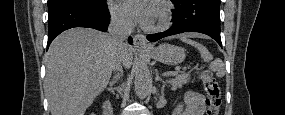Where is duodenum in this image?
Listing matches in <instances>:
<instances>
[{
    "instance_id": "duodenum-1",
    "label": "duodenum",
    "mask_w": 285,
    "mask_h": 115,
    "mask_svg": "<svg viewBox=\"0 0 285 115\" xmlns=\"http://www.w3.org/2000/svg\"><path fill=\"white\" fill-rule=\"evenodd\" d=\"M111 105L108 103V102H106V103H104V105H103V114L104 115H111L112 113H111Z\"/></svg>"
}]
</instances>
